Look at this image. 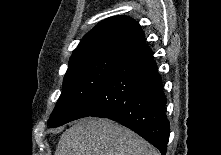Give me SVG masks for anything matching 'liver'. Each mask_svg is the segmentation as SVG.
<instances>
[{"label": "liver", "mask_w": 221, "mask_h": 155, "mask_svg": "<svg viewBox=\"0 0 221 155\" xmlns=\"http://www.w3.org/2000/svg\"><path fill=\"white\" fill-rule=\"evenodd\" d=\"M55 155H159V152L112 120L84 118L61 135Z\"/></svg>", "instance_id": "1"}]
</instances>
